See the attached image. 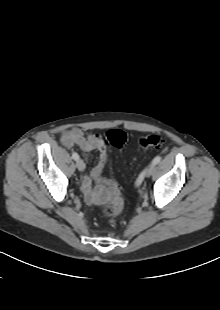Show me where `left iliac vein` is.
<instances>
[{"mask_svg":"<svg viewBox=\"0 0 220 310\" xmlns=\"http://www.w3.org/2000/svg\"><path fill=\"white\" fill-rule=\"evenodd\" d=\"M155 165L152 164L145 172L146 177H150L154 171Z\"/></svg>","mask_w":220,"mask_h":310,"instance_id":"1","label":"left iliac vein"}]
</instances>
